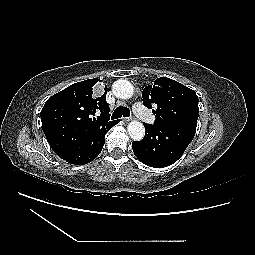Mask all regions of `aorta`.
<instances>
[{"label":"aorta","instance_id":"762f6f07","mask_svg":"<svg viewBox=\"0 0 255 255\" xmlns=\"http://www.w3.org/2000/svg\"><path fill=\"white\" fill-rule=\"evenodd\" d=\"M113 93L116 97L128 99L132 97L134 88L128 80L119 79L113 84ZM130 137L135 141H140L145 134L144 125L139 121H131L127 127Z\"/></svg>","mask_w":255,"mask_h":255}]
</instances>
